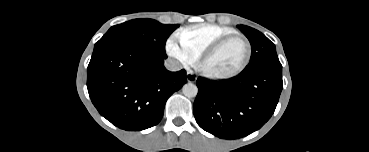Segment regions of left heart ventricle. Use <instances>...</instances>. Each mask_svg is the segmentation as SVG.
I'll return each mask as SVG.
<instances>
[{"label":"left heart ventricle","instance_id":"b2bd125f","mask_svg":"<svg viewBox=\"0 0 369 152\" xmlns=\"http://www.w3.org/2000/svg\"><path fill=\"white\" fill-rule=\"evenodd\" d=\"M246 55V45L241 39L227 42L205 64V67L217 74H227L237 69Z\"/></svg>","mask_w":369,"mask_h":152}]
</instances>
